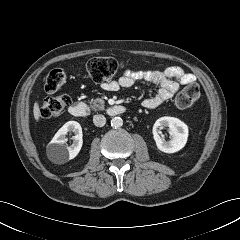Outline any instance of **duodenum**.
Instances as JSON below:
<instances>
[{
	"mask_svg": "<svg viewBox=\"0 0 240 240\" xmlns=\"http://www.w3.org/2000/svg\"><path fill=\"white\" fill-rule=\"evenodd\" d=\"M69 112L72 116L82 118L86 117L90 110L86 103L84 102H74L70 108ZM105 112L110 116L121 115L126 112V107L122 105H113L106 108Z\"/></svg>",
	"mask_w": 240,
	"mask_h": 240,
	"instance_id": "obj_1",
	"label": "duodenum"
}]
</instances>
